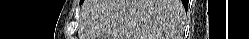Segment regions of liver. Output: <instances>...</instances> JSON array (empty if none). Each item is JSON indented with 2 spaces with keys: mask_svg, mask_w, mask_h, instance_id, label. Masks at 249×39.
<instances>
[{
  "mask_svg": "<svg viewBox=\"0 0 249 39\" xmlns=\"http://www.w3.org/2000/svg\"><path fill=\"white\" fill-rule=\"evenodd\" d=\"M179 8V9H178ZM176 0H87L80 39H172Z\"/></svg>",
  "mask_w": 249,
  "mask_h": 39,
  "instance_id": "1",
  "label": "liver"
}]
</instances>
